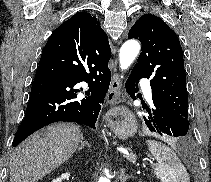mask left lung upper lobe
<instances>
[{
	"instance_id": "1",
	"label": "left lung upper lobe",
	"mask_w": 211,
	"mask_h": 182,
	"mask_svg": "<svg viewBox=\"0 0 211 182\" xmlns=\"http://www.w3.org/2000/svg\"><path fill=\"white\" fill-rule=\"evenodd\" d=\"M139 39L142 52L132 71L150 79L152 99L162 101L188 119V94L183 52L175 32L159 17L146 14L128 33Z\"/></svg>"
}]
</instances>
